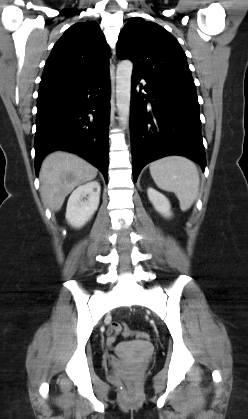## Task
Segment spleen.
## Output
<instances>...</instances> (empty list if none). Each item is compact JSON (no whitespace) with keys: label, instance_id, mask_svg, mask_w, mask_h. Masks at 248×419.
<instances>
[{"label":"spleen","instance_id":"1","mask_svg":"<svg viewBox=\"0 0 248 419\" xmlns=\"http://www.w3.org/2000/svg\"><path fill=\"white\" fill-rule=\"evenodd\" d=\"M150 173L160 189L175 193L182 211L192 206L198 195L200 178L191 160L182 156H168L152 162Z\"/></svg>","mask_w":248,"mask_h":419}]
</instances>
